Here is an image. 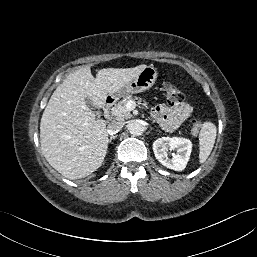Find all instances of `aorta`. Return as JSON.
<instances>
[{
	"instance_id": "obj_1",
	"label": "aorta",
	"mask_w": 257,
	"mask_h": 257,
	"mask_svg": "<svg viewBox=\"0 0 257 257\" xmlns=\"http://www.w3.org/2000/svg\"><path fill=\"white\" fill-rule=\"evenodd\" d=\"M130 134L133 136H139L143 132V126L137 121H132L128 126Z\"/></svg>"
}]
</instances>
